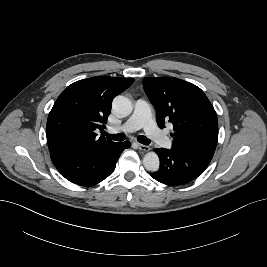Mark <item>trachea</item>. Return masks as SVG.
<instances>
[{
    "label": "trachea",
    "mask_w": 267,
    "mask_h": 267,
    "mask_svg": "<svg viewBox=\"0 0 267 267\" xmlns=\"http://www.w3.org/2000/svg\"><path fill=\"white\" fill-rule=\"evenodd\" d=\"M103 134L114 141H123L126 138L125 134L123 133L108 134L104 132ZM137 140L144 145H149L151 142L146 136L143 135L138 136Z\"/></svg>",
    "instance_id": "obj_1"
}]
</instances>
